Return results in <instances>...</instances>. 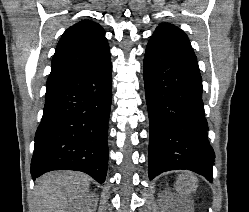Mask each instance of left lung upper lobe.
Segmentation results:
<instances>
[{
	"instance_id": "left-lung-upper-lobe-1",
	"label": "left lung upper lobe",
	"mask_w": 249,
	"mask_h": 212,
	"mask_svg": "<svg viewBox=\"0 0 249 212\" xmlns=\"http://www.w3.org/2000/svg\"><path fill=\"white\" fill-rule=\"evenodd\" d=\"M160 45L173 53L196 59L187 35L176 26L161 23L150 38L147 47Z\"/></svg>"
}]
</instances>
